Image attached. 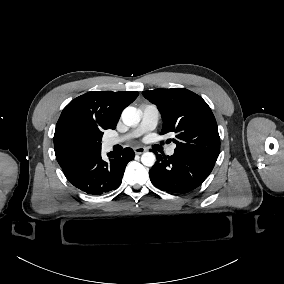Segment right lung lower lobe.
Returning a JSON list of instances; mask_svg holds the SVG:
<instances>
[{
	"label": "right lung lower lobe",
	"mask_w": 284,
	"mask_h": 284,
	"mask_svg": "<svg viewBox=\"0 0 284 284\" xmlns=\"http://www.w3.org/2000/svg\"><path fill=\"white\" fill-rule=\"evenodd\" d=\"M107 155L109 161H104L99 152L66 168L64 174L75 187L87 194L101 195L116 190L127 163L134 159V152L125 148L122 152Z\"/></svg>",
	"instance_id": "98d812e1"
}]
</instances>
